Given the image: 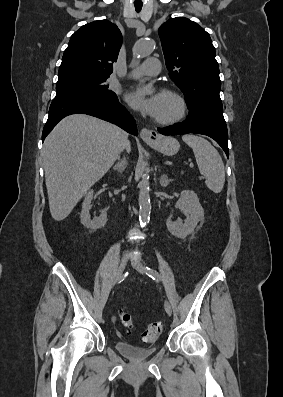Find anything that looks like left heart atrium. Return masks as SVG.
<instances>
[{
    "mask_svg": "<svg viewBox=\"0 0 283 397\" xmlns=\"http://www.w3.org/2000/svg\"><path fill=\"white\" fill-rule=\"evenodd\" d=\"M126 101L138 111L156 117L159 109L158 95L146 97L141 90L133 89L126 93Z\"/></svg>",
    "mask_w": 283,
    "mask_h": 397,
    "instance_id": "1",
    "label": "left heart atrium"
}]
</instances>
